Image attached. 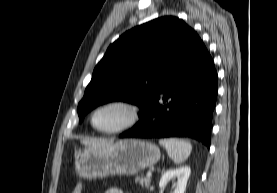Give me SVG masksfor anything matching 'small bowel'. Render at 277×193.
I'll use <instances>...</instances> for the list:
<instances>
[{"label":"small bowel","mask_w":277,"mask_h":193,"mask_svg":"<svg viewBox=\"0 0 277 193\" xmlns=\"http://www.w3.org/2000/svg\"><path fill=\"white\" fill-rule=\"evenodd\" d=\"M104 193H127L119 187H111L107 189Z\"/></svg>","instance_id":"small-bowel-1"}]
</instances>
